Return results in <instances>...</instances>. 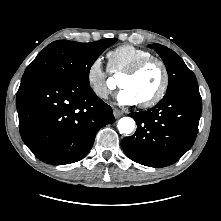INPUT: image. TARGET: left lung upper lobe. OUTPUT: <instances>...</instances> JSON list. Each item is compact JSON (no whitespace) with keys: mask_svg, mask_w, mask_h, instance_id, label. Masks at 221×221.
I'll list each match as a JSON object with an SVG mask.
<instances>
[{"mask_svg":"<svg viewBox=\"0 0 221 221\" xmlns=\"http://www.w3.org/2000/svg\"><path fill=\"white\" fill-rule=\"evenodd\" d=\"M149 47L156 49L165 63L169 76L168 89L165 95L182 88L198 87L194 73L174 51L160 44H151Z\"/></svg>","mask_w":221,"mask_h":221,"instance_id":"obj_1","label":"left lung upper lobe"}]
</instances>
